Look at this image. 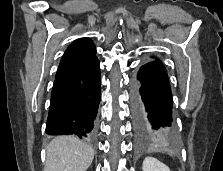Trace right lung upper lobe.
<instances>
[{
	"label": "right lung upper lobe",
	"instance_id": "cb5924a9",
	"mask_svg": "<svg viewBox=\"0 0 223 171\" xmlns=\"http://www.w3.org/2000/svg\"><path fill=\"white\" fill-rule=\"evenodd\" d=\"M95 59L97 57L93 42L89 38L77 39L65 51L56 76L83 67Z\"/></svg>",
	"mask_w": 223,
	"mask_h": 171
}]
</instances>
